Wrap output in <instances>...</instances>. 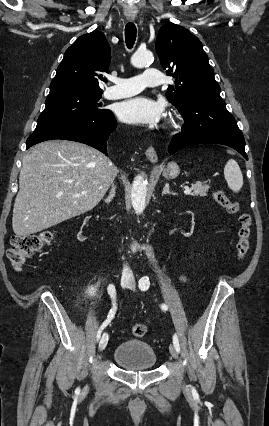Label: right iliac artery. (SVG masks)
Returning <instances> with one entry per match:
<instances>
[{"label": "right iliac artery", "mask_w": 269, "mask_h": 426, "mask_svg": "<svg viewBox=\"0 0 269 426\" xmlns=\"http://www.w3.org/2000/svg\"><path fill=\"white\" fill-rule=\"evenodd\" d=\"M108 290V294L110 295L111 299H112V309L110 310L109 314H108V318L103 322V324L101 325V327L99 328L98 332H97V340H99L100 336H101V332L103 331V329L109 324V322L113 319L115 312H116V289L115 286L113 284H110L107 288ZM79 388L76 389V392H79Z\"/></svg>", "instance_id": "1"}]
</instances>
